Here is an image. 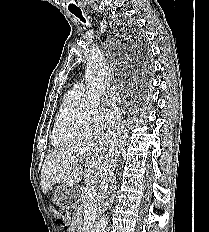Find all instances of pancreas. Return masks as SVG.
<instances>
[{
  "label": "pancreas",
  "mask_w": 209,
  "mask_h": 232,
  "mask_svg": "<svg viewBox=\"0 0 209 232\" xmlns=\"http://www.w3.org/2000/svg\"><path fill=\"white\" fill-rule=\"evenodd\" d=\"M81 197H82V205L85 206L87 204H89L91 206V209H90V220H89V223L88 225L91 226L92 225V222H93V219L95 218L96 216V212H97V202L96 200L94 199V197L92 199H90L88 197V192L86 189H83L82 190V194H81Z\"/></svg>",
  "instance_id": "cf45deb5"
}]
</instances>
